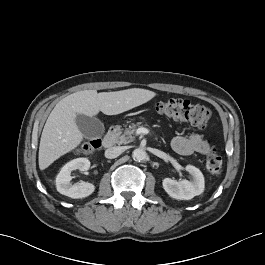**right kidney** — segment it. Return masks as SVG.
I'll use <instances>...</instances> for the list:
<instances>
[{"label":"right kidney","mask_w":265,"mask_h":265,"mask_svg":"<svg viewBox=\"0 0 265 265\" xmlns=\"http://www.w3.org/2000/svg\"><path fill=\"white\" fill-rule=\"evenodd\" d=\"M90 168V161L87 158H77L65 164L56 177V188L60 194L79 199L91 195L95 186L92 183L81 181L72 184L71 172L74 170L87 171Z\"/></svg>","instance_id":"1"}]
</instances>
